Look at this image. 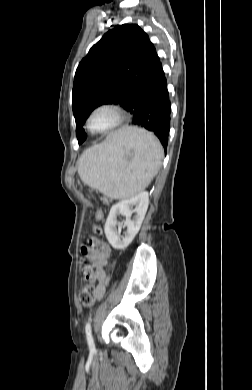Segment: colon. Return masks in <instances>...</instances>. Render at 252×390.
I'll return each mask as SVG.
<instances>
[{"instance_id":"5ec220e1","label":"colon","mask_w":252,"mask_h":390,"mask_svg":"<svg viewBox=\"0 0 252 390\" xmlns=\"http://www.w3.org/2000/svg\"><path fill=\"white\" fill-rule=\"evenodd\" d=\"M102 218H103L102 211L101 210H97L96 213H95V221L99 222V221L102 220ZM93 230L97 234H100L102 232L100 226L97 225V224L94 225ZM85 267L86 266H84V268H83V273H84L85 277L88 280H90V272ZM79 299H80V302H81V304L83 306H85V307L92 306L94 304V302H95V299H96V292H95L94 286L92 284H87L86 286H84L80 290Z\"/></svg>"}]
</instances>
